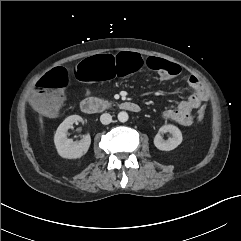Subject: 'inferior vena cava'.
Wrapping results in <instances>:
<instances>
[{
	"mask_svg": "<svg viewBox=\"0 0 241 241\" xmlns=\"http://www.w3.org/2000/svg\"><path fill=\"white\" fill-rule=\"evenodd\" d=\"M100 121L104 125H108L112 122V116L109 113H104L100 116Z\"/></svg>",
	"mask_w": 241,
	"mask_h": 241,
	"instance_id": "inferior-vena-cava-1",
	"label": "inferior vena cava"
}]
</instances>
